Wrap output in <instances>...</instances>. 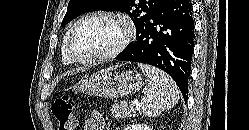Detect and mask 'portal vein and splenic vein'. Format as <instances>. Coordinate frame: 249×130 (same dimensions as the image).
<instances>
[{"mask_svg": "<svg viewBox=\"0 0 249 130\" xmlns=\"http://www.w3.org/2000/svg\"><path fill=\"white\" fill-rule=\"evenodd\" d=\"M129 106H130V108H134L135 107V102H129Z\"/></svg>", "mask_w": 249, "mask_h": 130, "instance_id": "obj_1", "label": "portal vein and splenic vein"}]
</instances>
